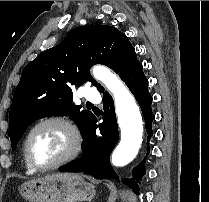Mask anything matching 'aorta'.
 <instances>
[{
  "mask_svg": "<svg viewBox=\"0 0 209 202\" xmlns=\"http://www.w3.org/2000/svg\"><path fill=\"white\" fill-rule=\"evenodd\" d=\"M93 76L113 94L121 139L112 153L111 162L121 167L138 154L142 143L143 122L136 100L116 74L103 66L94 67Z\"/></svg>",
  "mask_w": 209,
  "mask_h": 202,
  "instance_id": "obj_1",
  "label": "aorta"
}]
</instances>
